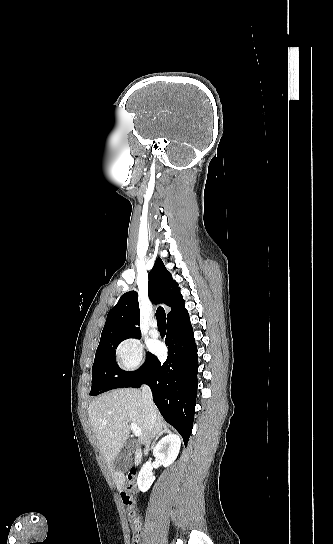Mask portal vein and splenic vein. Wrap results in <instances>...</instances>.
<instances>
[{"label":"portal vein and splenic vein","mask_w":333,"mask_h":544,"mask_svg":"<svg viewBox=\"0 0 333 544\" xmlns=\"http://www.w3.org/2000/svg\"><path fill=\"white\" fill-rule=\"evenodd\" d=\"M130 428L135 436H141V429L135 423H131Z\"/></svg>","instance_id":"18ae733b"}]
</instances>
